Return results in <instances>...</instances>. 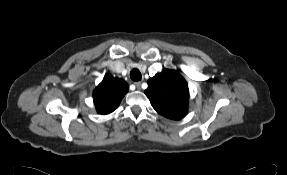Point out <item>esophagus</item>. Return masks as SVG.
<instances>
[{"instance_id": "1", "label": "esophagus", "mask_w": 287, "mask_h": 175, "mask_svg": "<svg viewBox=\"0 0 287 175\" xmlns=\"http://www.w3.org/2000/svg\"><path fill=\"white\" fill-rule=\"evenodd\" d=\"M134 85L136 86L137 89L141 88V82H135Z\"/></svg>"}]
</instances>
